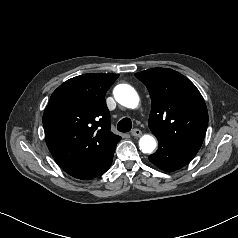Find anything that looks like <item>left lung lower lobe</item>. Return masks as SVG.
Wrapping results in <instances>:
<instances>
[{
	"label": "left lung lower lobe",
	"instance_id": "1",
	"mask_svg": "<svg viewBox=\"0 0 238 238\" xmlns=\"http://www.w3.org/2000/svg\"><path fill=\"white\" fill-rule=\"evenodd\" d=\"M195 155L196 153L192 151L176 149L166 144H159L158 150L149 156V160L158 168L166 172H171L188 164Z\"/></svg>",
	"mask_w": 238,
	"mask_h": 238
}]
</instances>
